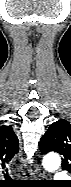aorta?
Segmentation results:
<instances>
[{
    "mask_svg": "<svg viewBox=\"0 0 71 187\" xmlns=\"http://www.w3.org/2000/svg\"><path fill=\"white\" fill-rule=\"evenodd\" d=\"M60 164L61 158L57 153L54 152L45 155L42 161L43 167L49 172L57 170Z\"/></svg>",
    "mask_w": 71,
    "mask_h": 187,
    "instance_id": "aorta-1",
    "label": "aorta"
}]
</instances>
